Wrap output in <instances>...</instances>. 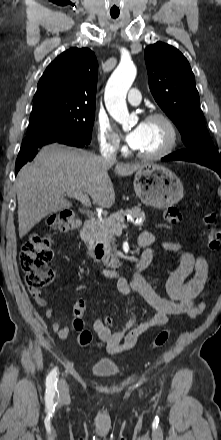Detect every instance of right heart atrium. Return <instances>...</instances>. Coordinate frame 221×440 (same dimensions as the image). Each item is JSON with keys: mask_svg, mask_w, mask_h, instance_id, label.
<instances>
[{"mask_svg": "<svg viewBox=\"0 0 221 440\" xmlns=\"http://www.w3.org/2000/svg\"><path fill=\"white\" fill-rule=\"evenodd\" d=\"M94 127L100 149L103 152L114 154L122 150L121 138L106 116L97 115Z\"/></svg>", "mask_w": 221, "mask_h": 440, "instance_id": "obj_1", "label": "right heart atrium"}]
</instances>
